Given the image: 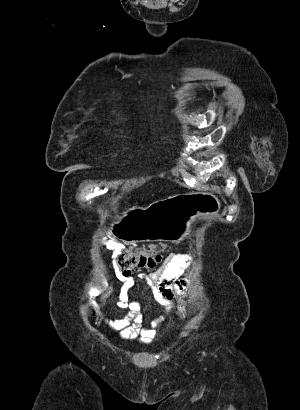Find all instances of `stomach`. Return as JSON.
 <instances>
[{"label":"stomach","instance_id":"0dacf381","mask_svg":"<svg viewBox=\"0 0 300 410\" xmlns=\"http://www.w3.org/2000/svg\"><path fill=\"white\" fill-rule=\"evenodd\" d=\"M221 203L209 192L189 193L133 207L111 224L112 235L123 242L180 241L197 218L219 213Z\"/></svg>","mask_w":300,"mask_h":410}]
</instances>
